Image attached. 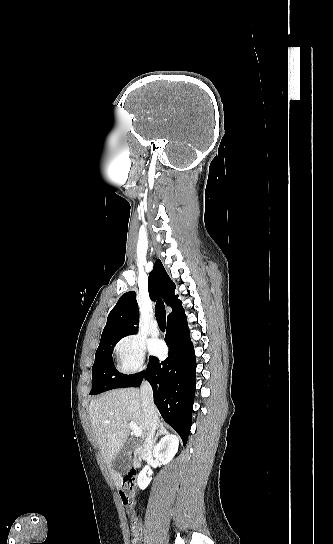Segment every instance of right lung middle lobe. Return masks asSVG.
<instances>
[{"instance_id": "1", "label": "right lung middle lobe", "mask_w": 333, "mask_h": 544, "mask_svg": "<svg viewBox=\"0 0 333 544\" xmlns=\"http://www.w3.org/2000/svg\"><path fill=\"white\" fill-rule=\"evenodd\" d=\"M124 336L101 339L92 367V390L90 394H99L115 388L129 387L139 380L143 372L124 375L118 372L112 359L113 348Z\"/></svg>"}]
</instances>
